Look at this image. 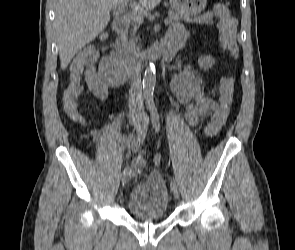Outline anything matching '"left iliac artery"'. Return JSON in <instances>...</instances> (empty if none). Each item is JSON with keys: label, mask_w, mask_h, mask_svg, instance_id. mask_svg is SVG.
I'll use <instances>...</instances> for the list:
<instances>
[{"label": "left iliac artery", "mask_w": 295, "mask_h": 250, "mask_svg": "<svg viewBox=\"0 0 295 250\" xmlns=\"http://www.w3.org/2000/svg\"><path fill=\"white\" fill-rule=\"evenodd\" d=\"M150 115L153 128L155 129V132L158 133L160 131V118L158 109L154 105L150 107ZM170 186L171 188L177 187L174 179L171 180Z\"/></svg>", "instance_id": "obj_1"}]
</instances>
